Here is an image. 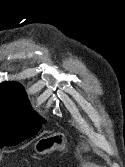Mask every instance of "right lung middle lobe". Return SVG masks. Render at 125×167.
Segmentation results:
<instances>
[{"instance_id":"dd1d6c3e","label":"right lung middle lobe","mask_w":125,"mask_h":167,"mask_svg":"<svg viewBox=\"0 0 125 167\" xmlns=\"http://www.w3.org/2000/svg\"><path fill=\"white\" fill-rule=\"evenodd\" d=\"M42 123L28 99L0 97V145L13 146L32 137Z\"/></svg>"}]
</instances>
